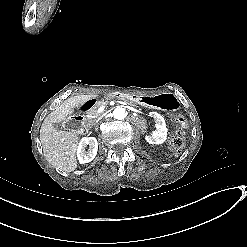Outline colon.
Masks as SVG:
<instances>
[{
	"label": "colon",
	"instance_id": "colon-1",
	"mask_svg": "<svg viewBox=\"0 0 247 247\" xmlns=\"http://www.w3.org/2000/svg\"><path fill=\"white\" fill-rule=\"evenodd\" d=\"M175 131L171 136V147L173 155H177L184 147V131L186 129V120L182 115H179L174 120Z\"/></svg>",
	"mask_w": 247,
	"mask_h": 247
}]
</instances>
